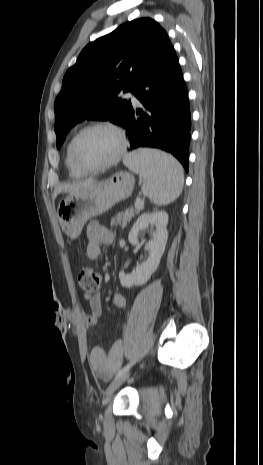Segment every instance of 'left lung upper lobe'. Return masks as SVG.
<instances>
[{"label": "left lung upper lobe", "mask_w": 263, "mask_h": 465, "mask_svg": "<svg viewBox=\"0 0 263 465\" xmlns=\"http://www.w3.org/2000/svg\"><path fill=\"white\" fill-rule=\"evenodd\" d=\"M168 42L156 21L140 18L88 44L67 70L55 100L57 148L69 130L85 119L122 125L132 105L118 94L132 91Z\"/></svg>", "instance_id": "obj_1"}]
</instances>
